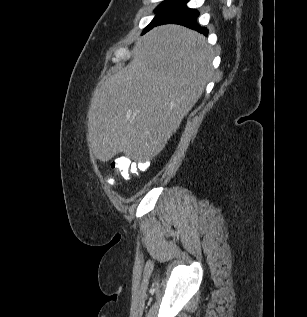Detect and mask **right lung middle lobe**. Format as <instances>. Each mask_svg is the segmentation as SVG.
I'll return each mask as SVG.
<instances>
[{"label":"right lung middle lobe","instance_id":"1","mask_svg":"<svg viewBox=\"0 0 307 317\" xmlns=\"http://www.w3.org/2000/svg\"><path fill=\"white\" fill-rule=\"evenodd\" d=\"M175 0H165L163 1L156 9H155V17L152 20L151 23H153L154 21H156L169 7H171V5L174 3ZM150 23V24H151ZM149 24V25H150Z\"/></svg>","mask_w":307,"mask_h":317}]
</instances>
